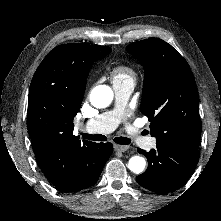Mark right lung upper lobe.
Here are the masks:
<instances>
[{"label": "right lung upper lobe", "mask_w": 221, "mask_h": 221, "mask_svg": "<svg viewBox=\"0 0 221 221\" xmlns=\"http://www.w3.org/2000/svg\"><path fill=\"white\" fill-rule=\"evenodd\" d=\"M110 47L69 43L55 47L37 68L29 91L27 126L39 166L62 191L74 186L97 143L73 135L86 78L96 54Z\"/></svg>", "instance_id": "obj_1"}]
</instances>
